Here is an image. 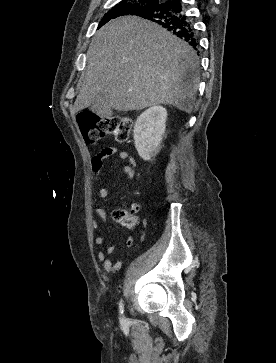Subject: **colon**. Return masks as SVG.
Here are the masks:
<instances>
[{"label":"colon","mask_w":276,"mask_h":363,"mask_svg":"<svg viewBox=\"0 0 276 363\" xmlns=\"http://www.w3.org/2000/svg\"><path fill=\"white\" fill-rule=\"evenodd\" d=\"M78 125L87 142L95 143L107 135L113 136L118 142H125L129 137L132 119L125 115L100 118L89 110H82L78 113ZM113 217L128 228L138 224L137 217L123 209L115 210Z\"/></svg>","instance_id":"5ec220e1"}]
</instances>
